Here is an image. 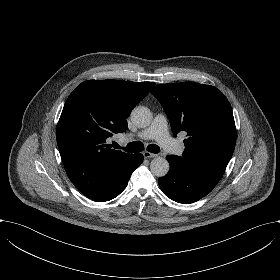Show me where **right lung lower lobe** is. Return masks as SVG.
Returning <instances> with one entry per match:
<instances>
[{"mask_svg":"<svg viewBox=\"0 0 280 280\" xmlns=\"http://www.w3.org/2000/svg\"><path fill=\"white\" fill-rule=\"evenodd\" d=\"M142 161H143V155L136 154V157L132 165L127 169H125L118 176L112 178L108 186L104 187L102 192L98 195V197L93 200L102 202V201L111 200L116 196H118L126 188L132 172L142 163Z\"/></svg>","mask_w":280,"mask_h":280,"instance_id":"98d812e1","label":"right lung lower lobe"}]
</instances>
